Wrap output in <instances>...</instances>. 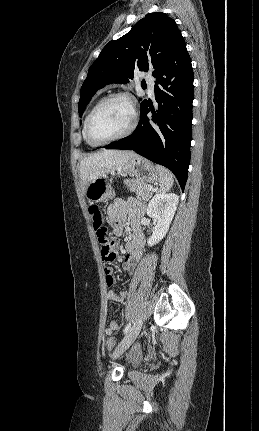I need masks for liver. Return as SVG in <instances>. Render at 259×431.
<instances>
[{"instance_id":"obj_1","label":"liver","mask_w":259,"mask_h":431,"mask_svg":"<svg viewBox=\"0 0 259 431\" xmlns=\"http://www.w3.org/2000/svg\"><path fill=\"white\" fill-rule=\"evenodd\" d=\"M137 156L133 151L102 150L85 157L80 163V179L83 192L94 179L119 171L125 163Z\"/></svg>"}]
</instances>
